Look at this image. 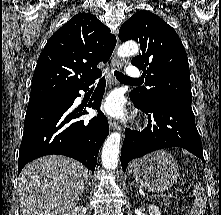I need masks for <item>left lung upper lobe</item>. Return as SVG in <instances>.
<instances>
[{
  "label": "left lung upper lobe",
  "instance_id": "left-lung-upper-lobe-1",
  "mask_svg": "<svg viewBox=\"0 0 221 215\" xmlns=\"http://www.w3.org/2000/svg\"><path fill=\"white\" fill-rule=\"evenodd\" d=\"M119 39L135 40L141 46V53L131 64L143 69L149 88L134 89L130 95L144 105L171 103L191 107L187 54L171 26L149 11H139L121 26Z\"/></svg>",
  "mask_w": 221,
  "mask_h": 215
}]
</instances>
